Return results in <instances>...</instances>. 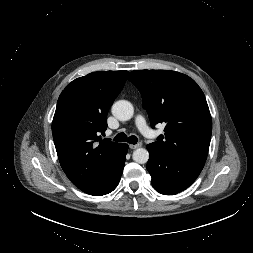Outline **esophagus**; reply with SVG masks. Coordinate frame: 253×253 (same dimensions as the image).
<instances>
[{
    "label": "esophagus",
    "mask_w": 253,
    "mask_h": 253,
    "mask_svg": "<svg viewBox=\"0 0 253 253\" xmlns=\"http://www.w3.org/2000/svg\"><path fill=\"white\" fill-rule=\"evenodd\" d=\"M141 146H142V143L130 144V145H129V147H130L131 149H137V148H139V147H141Z\"/></svg>",
    "instance_id": "esophagus-1"
}]
</instances>
